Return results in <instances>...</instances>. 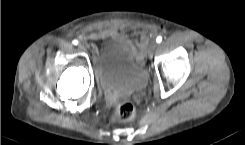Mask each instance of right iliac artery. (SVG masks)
Here are the masks:
<instances>
[{
  "mask_svg": "<svg viewBox=\"0 0 245 145\" xmlns=\"http://www.w3.org/2000/svg\"><path fill=\"white\" fill-rule=\"evenodd\" d=\"M74 45H77L78 44V41L77 40H73L72 42Z\"/></svg>",
  "mask_w": 245,
  "mask_h": 145,
  "instance_id": "82829eb1",
  "label": "right iliac artery"
}]
</instances>
